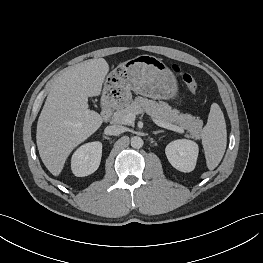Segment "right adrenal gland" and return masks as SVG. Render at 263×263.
<instances>
[{"label": "right adrenal gland", "instance_id": "right-adrenal-gland-1", "mask_svg": "<svg viewBox=\"0 0 263 263\" xmlns=\"http://www.w3.org/2000/svg\"><path fill=\"white\" fill-rule=\"evenodd\" d=\"M103 137L106 139L107 138V136H105V135H103Z\"/></svg>", "mask_w": 263, "mask_h": 263}]
</instances>
